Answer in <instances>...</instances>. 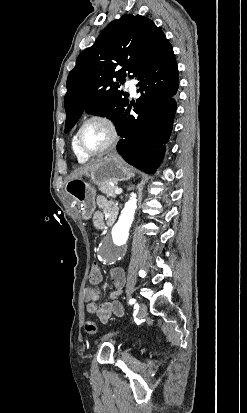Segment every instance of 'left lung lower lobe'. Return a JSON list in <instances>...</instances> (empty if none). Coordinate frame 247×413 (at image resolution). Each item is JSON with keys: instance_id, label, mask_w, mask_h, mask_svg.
<instances>
[{"instance_id": "1", "label": "left lung lower lobe", "mask_w": 247, "mask_h": 413, "mask_svg": "<svg viewBox=\"0 0 247 413\" xmlns=\"http://www.w3.org/2000/svg\"><path fill=\"white\" fill-rule=\"evenodd\" d=\"M136 79L137 91L142 92L133 104L138 116L129 115L132 103L128 105L117 129L124 138L117 150L129 164L152 173L163 159L177 107L179 77L172 46L163 49Z\"/></svg>"}]
</instances>
